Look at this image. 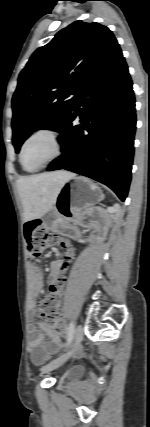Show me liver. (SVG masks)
<instances>
[{
  "label": "liver",
  "instance_id": "6515ba94",
  "mask_svg": "<svg viewBox=\"0 0 150 427\" xmlns=\"http://www.w3.org/2000/svg\"><path fill=\"white\" fill-rule=\"evenodd\" d=\"M74 176L73 173L61 170L20 178L17 188L24 209V220L30 221L46 214L55 204L61 187Z\"/></svg>",
  "mask_w": 150,
  "mask_h": 427
}]
</instances>
